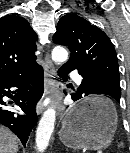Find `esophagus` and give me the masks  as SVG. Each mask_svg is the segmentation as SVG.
I'll return each instance as SVG.
<instances>
[{
  "label": "esophagus",
  "mask_w": 130,
  "mask_h": 153,
  "mask_svg": "<svg viewBox=\"0 0 130 153\" xmlns=\"http://www.w3.org/2000/svg\"><path fill=\"white\" fill-rule=\"evenodd\" d=\"M56 75L55 67L52 61L49 58V55H46L45 58V67H44V88L45 95L51 96L53 98V102L55 108L57 109L58 116L61 117L64 113L65 107L62 103V95L57 90L54 82V77ZM39 113L42 112V107L39 108Z\"/></svg>",
  "instance_id": "esophagus-1"
}]
</instances>
